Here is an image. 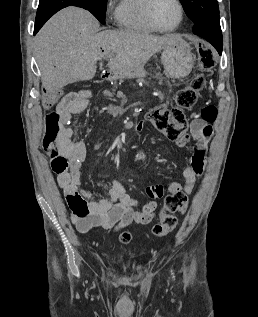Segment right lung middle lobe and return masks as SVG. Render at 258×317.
<instances>
[{
  "mask_svg": "<svg viewBox=\"0 0 258 317\" xmlns=\"http://www.w3.org/2000/svg\"><path fill=\"white\" fill-rule=\"evenodd\" d=\"M92 14L102 23L105 24V12L107 0H88Z\"/></svg>",
  "mask_w": 258,
  "mask_h": 317,
  "instance_id": "1",
  "label": "right lung middle lobe"
}]
</instances>
